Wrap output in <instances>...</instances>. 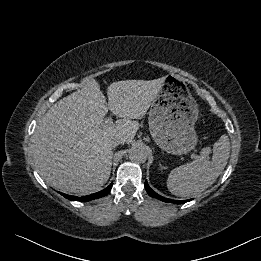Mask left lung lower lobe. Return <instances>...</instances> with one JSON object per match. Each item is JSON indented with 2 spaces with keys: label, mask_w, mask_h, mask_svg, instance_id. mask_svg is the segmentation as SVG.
<instances>
[{
  "label": "left lung lower lobe",
  "mask_w": 261,
  "mask_h": 261,
  "mask_svg": "<svg viewBox=\"0 0 261 261\" xmlns=\"http://www.w3.org/2000/svg\"><path fill=\"white\" fill-rule=\"evenodd\" d=\"M145 188H146L147 193H148L151 197L156 198V199H159V200L164 201V202L179 204V203H185V202L190 201V200L177 201V200H171V199H168V198H164V197L160 196L159 194H157L156 192H154V191L149 187V185L147 184V181H145Z\"/></svg>",
  "instance_id": "obj_1"
}]
</instances>
